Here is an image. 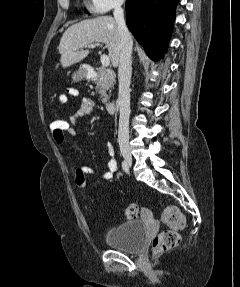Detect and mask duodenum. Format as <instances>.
Returning a JSON list of instances; mask_svg holds the SVG:
<instances>
[{
    "instance_id": "1",
    "label": "duodenum",
    "mask_w": 240,
    "mask_h": 287,
    "mask_svg": "<svg viewBox=\"0 0 240 287\" xmlns=\"http://www.w3.org/2000/svg\"><path fill=\"white\" fill-rule=\"evenodd\" d=\"M94 69L91 66L85 67V75L86 77H91L93 75ZM106 110L109 113H114L116 110V101L110 100L106 103Z\"/></svg>"
}]
</instances>
